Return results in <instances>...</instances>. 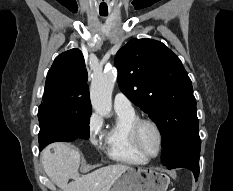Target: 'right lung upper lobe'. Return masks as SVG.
<instances>
[{
	"instance_id": "obj_1",
	"label": "right lung upper lobe",
	"mask_w": 233,
	"mask_h": 191,
	"mask_svg": "<svg viewBox=\"0 0 233 191\" xmlns=\"http://www.w3.org/2000/svg\"><path fill=\"white\" fill-rule=\"evenodd\" d=\"M42 100V104L91 110L87 70L79 49L63 52L54 60L47 73Z\"/></svg>"
}]
</instances>
